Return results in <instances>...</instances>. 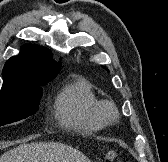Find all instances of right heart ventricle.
I'll return each instance as SVG.
<instances>
[{"mask_svg":"<svg viewBox=\"0 0 168 162\" xmlns=\"http://www.w3.org/2000/svg\"><path fill=\"white\" fill-rule=\"evenodd\" d=\"M101 101L84 78L69 80L55 100V115L62 125L82 133H93L107 124L100 113Z\"/></svg>","mask_w":168,"mask_h":162,"instance_id":"obj_1","label":"right heart ventricle"}]
</instances>
